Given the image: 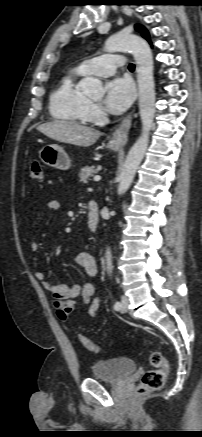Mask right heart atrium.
I'll return each mask as SVG.
<instances>
[{
  "label": "right heart atrium",
  "mask_w": 202,
  "mask_h": 437,
  "mask_svg": "<svg viewBox=\"0 0 202 437\" xmlns=\"http://www.w3.org/2000/svg\"><path fill=\"white\" fill-rule=\"evenodd\" d=\"M90 116L91 117L101 116V110H100L99 106H97L95 104L90 105Z\"/></svg>",
  "instance_id": "1"
}]
</instances>
